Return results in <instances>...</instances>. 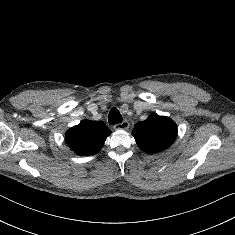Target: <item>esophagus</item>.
Returning <instances> with one entry per match:
<instances>
[{
	"label": "esophagus",
	"instance_id": "obj_1",
	"mask_svg": "<svg viewBox=\"0 0 235 235\" xmlns=\"http://www.w3.org/2000/svg\"><path fill=\"white\" fill-rule=\"evenodd\" d=\"M129 127V123L127 120H124L122 123H118L114 125L115 130H126Z\"/></svg>",
	"mask_w": 235,
	"mask_h": 235
}]
</instances>
